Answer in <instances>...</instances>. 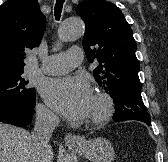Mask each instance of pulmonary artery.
<instances>
[{
    "label": "pulmonary artery",
    "instance_id": "obj_1",
    "mask_svg": "<svg viewBox=\"0 0 168 162\" xmlns=\"http://www.w3.org/2000/svg\"><path fill=\"white\" fill-rule=\"evenodd\" d=\"M83 50L73 46L65 52L46 57L40 70L49 75L65 74L82 62Z\"/></svg>",
    "mask_w": 168,
    "mask_h": 162
}]
</instances>
